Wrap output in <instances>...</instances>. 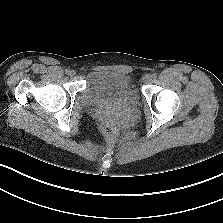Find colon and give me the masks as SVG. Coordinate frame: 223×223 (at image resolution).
<instances>
[{
    "label": "colon",
    "instance_id": "colon-1",
    "mask_svg": "<svg viewBox=\"0 0 223 223\" xmlns=\"http://www.w3.org/2000/svg\"><path fill=\"white\" fill-rule=\"evenodd\" d=\"M103 131L106 136H113L117 131L115 122L111 119H105L103 122Z\"/></svg>",
    "mask_w": 223,
    "mask_h": 223
}]
</instances>
